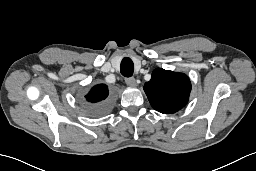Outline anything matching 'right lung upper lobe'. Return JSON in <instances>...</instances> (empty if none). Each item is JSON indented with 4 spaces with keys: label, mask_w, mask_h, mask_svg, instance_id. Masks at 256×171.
I'll return each instance as SVG.
<instances>
[{
    "label": "right lung upper lobe",
    "mask_w": 256,
    "mask_h": 171,
    "mask_svg": "<svg viewBox=\"0 0 256 171\" xmlns=\"http://www.w3.org/2000/svg\"><path fill=\"white\" fill-rule=\"evenodd\" d=\"M108 87L105 84H98L92 87L90 92L85 96L90 105L101 103L108 99Z\"/></svg>",
    "instance_id": "right-lung-upper-lobe-1"
}]
</instances>
